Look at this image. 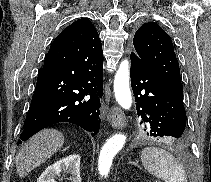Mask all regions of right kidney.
<instances>
[{"label": "right kidney", "instance_id": "obj_1", "mask_svg": "<svg viewBox=\"0 0 211 182\" xmlns=\"http://www.w3.org/2000/svg\"><path fill=\"white\" fill-rule=\"evenodd\" d=\"M60 173H70L71 182H82L80 176V156L72 154L48 166L37 182H56L55 178Z\"/></svg>", "mask_w": 211, "mask_h": 182}]
</instances>
